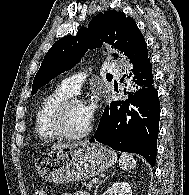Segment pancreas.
<instances>
[{"mask_svg":"<svg viewBox=\"0 0 189 195\" xmlns=\"http://www.w3.org/2000/svg\"><path fill=\"white\" fill-rule=\"evenodd\" d=\"M86 186V188L90 189L92 187V184L91 183H85L84 184Z\"/></svg>","mask_w":189,"mask_h":195,"instance_id":"1","label":"pancreas"}]
</instances>
